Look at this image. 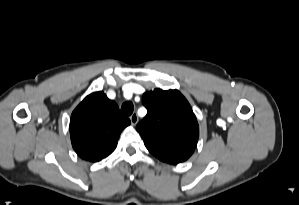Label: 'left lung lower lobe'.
Masks as SVG:
<instances>
[{
	"label": "left lung lower lobe",
	"instance_id": "1",
	"mask_svg": "<svg viewBox=\"0 0 299 205\" xmlns=\"http://www.w3.org/2000/svg\"><path fill=\"white\" fill-rule=\"evenodd\" d=\"M149 151L163 162L178 164L187 160L194 152V149L184 147H169L163 149H150Z\"/></svg>",
	"mask_w": 299,
	"mask_h": 205
}]
</instances>
